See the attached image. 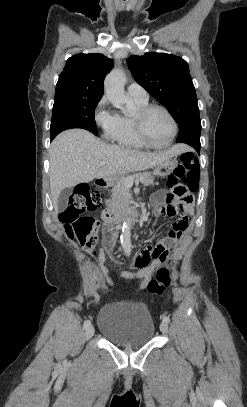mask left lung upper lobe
<instances>
[{
	"mask_svg": "<svg viewBox=\"0 0 247 407\" xmlns=\"http://www.w3.org/2000/svg\"><path fill=\"white\" fill-rule=\"evenodd\" d=\"M127 61L135 80L164 105L178 123L176 141L200 139L199 108L186 61L155 52L132 55Z\"/></svg>",
	"mask_w": 247,
	"mask_h": 407,
	"instance_id": "1",
	"label": "left lung upper lobe"
}]
</instances>
